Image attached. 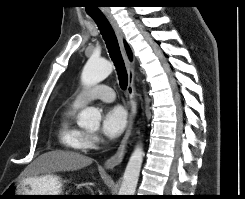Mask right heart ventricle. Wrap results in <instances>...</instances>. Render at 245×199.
I'll list each match as a JSON object with an SVG mask.
<instances>
[{"mask_svg":"<svg viewBox=\"0 0 245 199\" xmlns=\"http://www.w3.org/2000/svg\"><path fill=\"white\" fill-rule=\"evenodd\" d=\"M80 107L70 105L64 110L59 119L58 135L61 143L74 153L87 152L88 134L75 123V115Z\"/></svg>","mask_w":245,"mask_h":199,"instance_id":"1","label":"right heart ventricle"}]
</instances>
